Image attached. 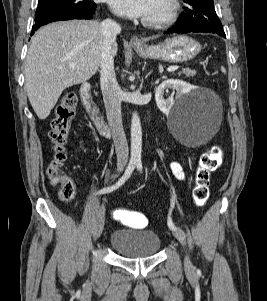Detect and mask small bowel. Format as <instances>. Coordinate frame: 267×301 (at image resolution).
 <instances>
[{"mask_svg": "<svg viewBox=\"0 0 267 301\" xmlns=\"http://www.w3.org/2000/svg\"><path fill=\"white\" fill-rule=\"evenodd\" d=\"M170 168H171L172 173L178 180L184 181L186 179L185 171L179 162H177V161L171 162Z\"/></svg>", "mask_w": 267, "mask_h": 301, "instance_id": "c3829d8e", "label": "small bowel"}]
</instances>
